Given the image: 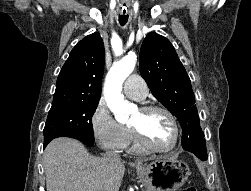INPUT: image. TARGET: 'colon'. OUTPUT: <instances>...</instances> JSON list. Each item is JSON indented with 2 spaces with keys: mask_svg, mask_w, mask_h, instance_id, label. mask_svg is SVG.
<instances>
[{
  "mask_svg": "<svg viewBox=\"0 0 251 191\" xmlns=\"http://www.w3.org/2000/svg\"><path fill=\"white\" fill-rule=\"evenodd\" d=\"M183 191H198V190L195 187L188 186V187L183 188Z\"/></svg>",
  "mask_w": 251,
  "mask_h": 191,
  "instance_id": "1",
  "label": "colon"
}]
</instances>
